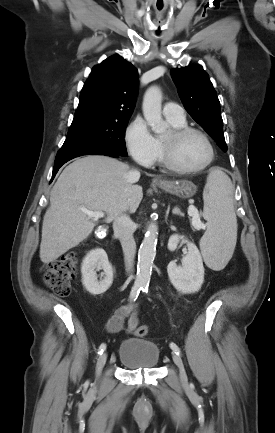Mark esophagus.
<instances>
[{
    "label": "esophagus",
    "mask_w": 275,
    "mask_h": 433,
    "mask_svg": "<svg viewBox=\"0 0 275 433\" xmlns=\"http://www.w3.org/2000/svg\"><path fill=\"white\" fill-rule=\"evenodd\" d=\"M157 182H158L159 184H162V183H164V180H162V179H158Z\"/></svg>",
    "instance_id": "34e87169"
}]
</instances>
